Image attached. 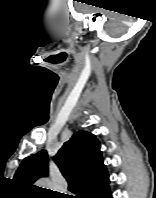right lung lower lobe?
<instances>
[{"instance_id": "98d812e1", "label": "right lung lower lobe", "mask_w": 156, "mask_h": 198, "mask_svg": "<svg viewBox=\"0 0 156 198\" xmlns=\"http://www.w3.org/2000/svg\"><path fill=\"white\" fill-rule=\"evenodd\" d=\"M96 198H112L109 187L101 192L98 196H96Z\"/></svg>"}]
</instances>
